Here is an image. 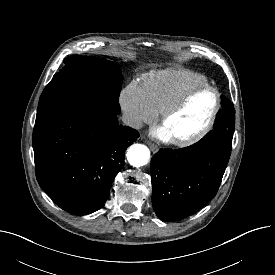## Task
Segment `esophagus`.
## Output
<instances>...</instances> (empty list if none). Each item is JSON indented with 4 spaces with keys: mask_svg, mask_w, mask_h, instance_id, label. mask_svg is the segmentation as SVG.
<instances>
[{
    "mask_svg": "<svg viewBox=\"0 0 275 275\" xmlns=\"http://www.w3.org/2000/svg\"><path fill=\"white\" fill-rule=\"evenodd\" d=\"M147 144H148V146L150 147V149L153 153H157L159 151L158 146L155 145L154 143H151V142L147 141Z\"/></svg>",
    "mask_w": 275,
    "mask_h": 275,
    "instance_id": "34e87169",
    "label": "esophagus"
}]
</instances>
